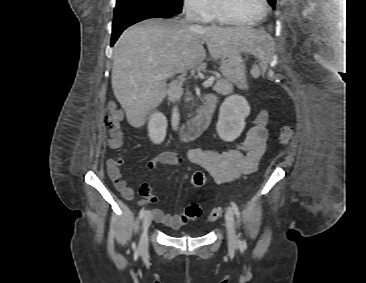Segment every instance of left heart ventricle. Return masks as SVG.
Masks as SVG:
<instances>
[{
  "label": "left heart ventricle",
  "mask_w": 366,
  "mask_h": 283,
  "mask_svg": "<svg viewBox=\"0 0 366 283\" xmlns=\"http://www.w3.org/2000/svg\"><path fill=\"white\" fill-rule=\"evenodd\" d=\"M232 13L244 22H252L263 13L262 0H226Z\"/></svg>",
  "instance_id": "left-heart-ventricle-1"
}]
</instances>
